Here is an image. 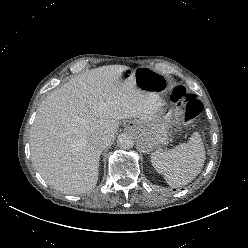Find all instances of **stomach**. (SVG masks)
<instances>
[{
	"label": "stomach",
	"mask_w": 248,
	"mask_h": 248,
	"mask_svg": "<svg viewBox=\"0 0 248 248\" xmlns=\"http://www.w3.org/2000/svg\"><path fill=\"white\" fill-rule=\"evenodd\" d=\"M133 77L138 89L162 95L167 86V79L161 73L149 67H138L135 70H125L122 78ZM172 110L162 103L160 110L151 120H134L129 122L128 127L135 133L138 144L145 151H150L168 140L169 123Z\"/></svg>",
	"instance_id": "0dacf381"
}]
</instances>
